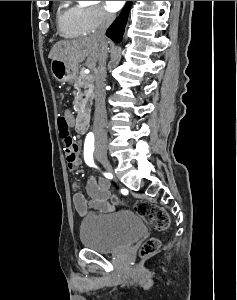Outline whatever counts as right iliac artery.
<instances>
[{
  "instance_id": "obj_1",
  "label": "right iliac artery",
  "mask_w": 237,
  "mask_h": 300,
  "mask_svg": "<svg viewBox=\"0 0 237 300\" xmlns=\"http://www.w3.org/2000/svg\"><path fill=\"white\" fill-rule=\"evenodd\" d=\"M93 151H94V135L88 133L84 143V159L87 165L90 167H95L93 160Z\"/></svg>"
}]
</instances>
